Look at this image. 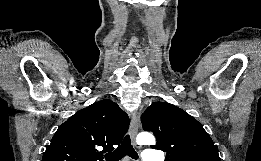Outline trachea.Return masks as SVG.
Returning a JSON list of instances; mask_svg holds the SVG:
<instances>
[{"mask_svg":"<svg viewBox=\"0 0 261 161\" xmlns=\"http://www.w3.org/2000/svg\"><path fill=\"white\" fill-rule=\"evenodd\" d=\"M126 155H128L129 157L135 160L138 159V154L134 150L131 144L129 135L125 136V138L123 139L122 143L118 146V148L115 151L108 153L105 156V158L106 161H119Z\"/></svg>","mask_w":261,"mask_h":161,"instance_id":"obj_1","label":"trachea"}]
</instances>
